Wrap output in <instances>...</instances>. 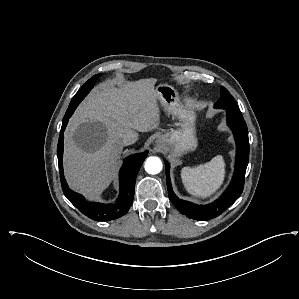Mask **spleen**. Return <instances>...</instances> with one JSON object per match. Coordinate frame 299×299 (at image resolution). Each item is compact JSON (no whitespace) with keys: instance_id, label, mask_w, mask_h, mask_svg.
Returning a JSON list of instances; mask_svg holds the SVG:
<instances>
[{"instance_id":"3e777b00","label":"spleen","mask_w":299,"mask_h":299,"mask_svg":"<svg viewBox=\"0 0 299 299\" xmlns=\"http://www.w3.org/2000/svg\"><path fill=\"white\" fill-rule=\"evenodd\" d=\"M225 177V162L221 155L195 167H184L181 171L186 190L195 196L206 198L215 193Z\"/></svg>"}]
</instances>
